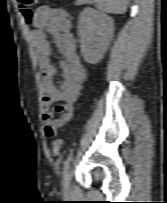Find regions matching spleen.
<instances>
[{
    "label": "spleen",
    "mask_w": 167,
    "mask_h": 203,
    "mask_svg": "<svg viewBox=\"0 0 167 203\" xmlns=\"http://www.w3.org/2000/svg\"><path fill=\"white\" fill-rule=\"evenodd\" d=\"M127 5L128 0H96V7L104 13L122 14Z\"/></svg>",
    "instance_id": "spleen-1"
}]
</instances>
